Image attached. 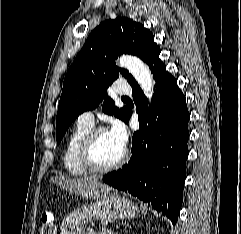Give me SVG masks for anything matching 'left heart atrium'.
I'll return each instance as SVG.
<instances>
[{"label": "left heart atrium", "mask_w": 241, "mask_h": 234, "mask_svg": "<svg viewBox=\"0 0 241 234\" xmlns=\"http://www.w3.org/2000/svg\"><path fill=\"white\" fill-rule=\"evenodd\" d=\"M108 132L111 135V137L116 141V143L121 148L125 149L128 135L124 124L119 120H114Z\"/></svg>", "instance_id": "39dd6f15"}]
</instances>
